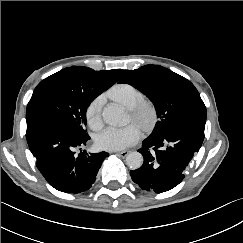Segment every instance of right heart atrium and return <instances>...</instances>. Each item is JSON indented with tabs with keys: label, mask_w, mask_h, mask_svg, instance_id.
Listing matches in <instances>:
<instances>
[{
	"label": "right heart atrium",
	"mask_w": 243,
	"mask_h": 243,
	"mask_svg": "<svg viewBox=\"0 0 243 243\" xmlns=\"http://www.w3.org/2000/svg\"><path fill=\"white\" fill-rule=\"evenodd\" d=\"M102 107L103 98L98 96L94 98L86 109V120L89 127L93 130H98L102 126Z\"/></svg>",
	"instance_id": "d8ad5b80"
}]
</instances>
